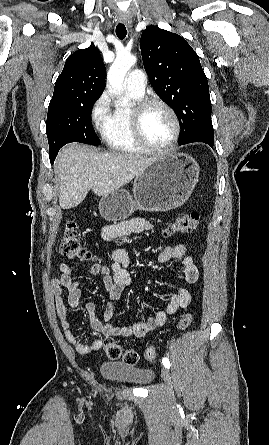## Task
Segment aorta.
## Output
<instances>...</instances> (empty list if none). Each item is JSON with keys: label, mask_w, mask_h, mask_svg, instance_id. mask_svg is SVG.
I'll return each instance as SVG.
<instances>
[{"label": "aorta", "mask_w": 269, "mask_h": 445, "mask_svg": "<svg viewBox=\"0 0 269 445\" xmlns=\"http://www.w3.org/2000/svg\"><path fill=\"white\" fill-rule=\"evenodd\" d=\"M137 58L131 54L118 55L107 73V83L115 93H121L127 71L136 63ZM121 106H127L126 99L120 100Z\"/></svg>", "instance_id": "aorta-1"}]
</instances>
